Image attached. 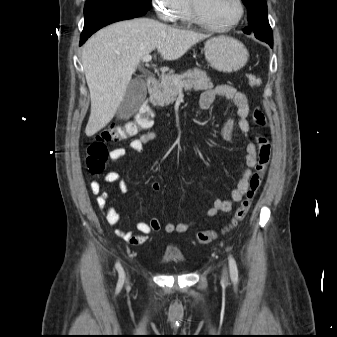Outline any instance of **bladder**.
Returning a JSON list of instances; mask_svg holds the SVG:
<instances>
[{
	"label": "bladder",
	"mask_w": 337,
	"mask_h": 337,
	"mask_svg": "<svg viewBox=\"0 0 337 337\" xmlns=\"http://www.w3.org/2000/svg\"><path fill=\"white\" fill-rule=\"evenodd\" d=\"M177 259H179V257H178V256H175V255H173V254H167L166 257L164 258V260H165L166 262L174 261V260H177Z\"/></svg>",
	"instance_id": "obj_1"
}]
</instances>
